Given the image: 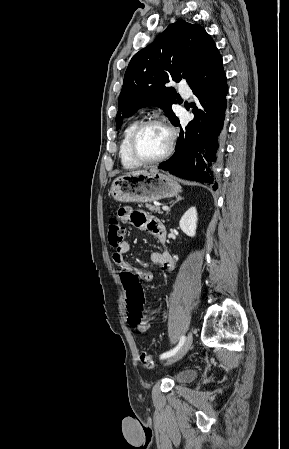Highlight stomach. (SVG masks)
I'll use <instances>...</instances> for the list:
<instances>
[{
	"mask_svg": "<svg viewBox=\"0 0 289 449\" xmlns=\"http://www.w3.org/2000/svg\"><path fill=\"white\" fill-rule=\"evenodd\" d=\"M181 186L170 176L156 170L141 174H126L115 178L111 196L119 202L147 203L177 196Z\"/></svg>",
	"mask_w": 289,
	"mask_h": 449,
	"instance_id": "0dacf381",
	"label": "stomach"
}]
</instances>
